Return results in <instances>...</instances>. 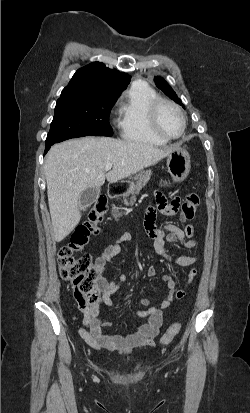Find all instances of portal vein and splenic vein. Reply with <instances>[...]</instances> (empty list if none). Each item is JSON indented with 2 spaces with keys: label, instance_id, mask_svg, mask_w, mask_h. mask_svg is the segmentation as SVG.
Returning a JSON list of instances; mask_svg holds the SVG:
<instances>
[{
  "label": "portal vein and splenic vein",
  "instance_id": "portal-vein-and-splenic-vein-1",
  "mask_svg": "<svg viewBox=\"0 0 250 413\" xmlns=\"http://www.w3.org/2000/svg\"><path fill=\"white\" fill-rule=\"evenodd\" d=\"M111 168H112V163H108V164L105 166V170H106V171L110 170Z\"/></svg>",
  "mask_w": 250,
  "mask_h": 413
}]
</instances>
